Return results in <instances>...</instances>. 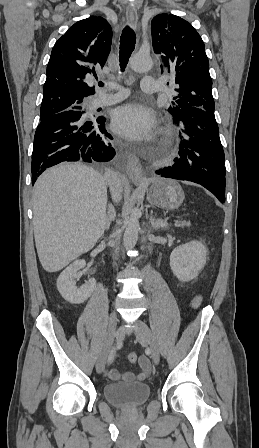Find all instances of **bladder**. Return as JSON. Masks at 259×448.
<instances>
[{
	"label": "bladder",
	"instance_id": "bladder-1",
	"mask_svg": "<svg viewBox=\"0 0 259 448\" xmlns=\"http://www.w3.org/2000/svg\"><path fill=\"white\" fill-rule=\"evenodd\" d=\"M105 399L113 406L133 409L142 406L150 396L146 383H109L103 389Z\"/></svg>",
	"mask_w": 259,
	"mask_h": 448
}]
</instances>
